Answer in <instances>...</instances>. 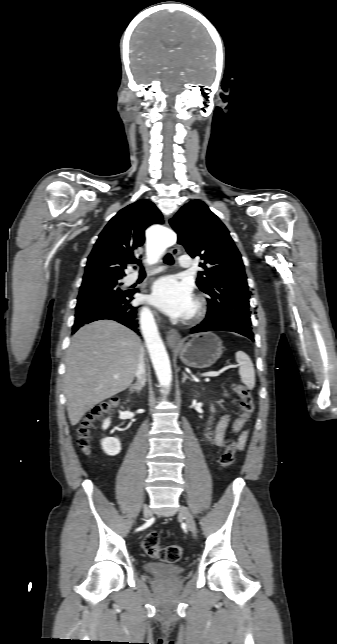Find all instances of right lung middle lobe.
I'll return each mask as SVG.
<instances>
[{
    "mask_svg": "<svg viewBox=\"0 0 337 644\" xmlns=\"http://www.w3.org/2000/svg\"><path fill=\"white\" fill-rule=\"evenodd\" d=\"M122 278H95L83 281L77 298L76 310L91 305L119 300L130 290L121 289Z\"/></svg>",
    "mask_w": 337,
    "mask_h": 644,
    "instance_id": "1",
    "label": "right lung middle lobe"
}]
</instances>
